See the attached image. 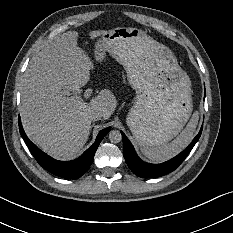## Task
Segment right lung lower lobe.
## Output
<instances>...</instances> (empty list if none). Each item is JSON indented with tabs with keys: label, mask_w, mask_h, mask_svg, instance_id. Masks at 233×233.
<instances>
[{
	"label": "right lung lower lobe",
	"mask_w": 233,
	"mask_h": 233,
	"mask_svg": "<svg viewBox=\"0 0 233 233\" xmlns=\"http://www.w3.org/2000/svg\"><path fill=\"white\" fill-rule=\"evenodd\" d=\"M111 127L101 130L96 138L95 143L87 149L79 158L72 161H58L44 152H42L36 145H34L26 136L21 121L19 117V130L22 138L26 142L28 148L30 149L32 155L37 160V162L47 171L52 174L67 178V179H77L82 176L87 169L90 167L94 154L104 138V136L110 131Z\"/></svg>",
	"instance_id": "98d812e1"
}]
</instances>
